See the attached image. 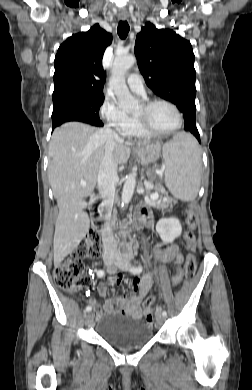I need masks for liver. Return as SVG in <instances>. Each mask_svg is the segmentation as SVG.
Here are the masks:
<instances>
[{"instance_id":"6515ba94","label":"liver","mask_w":252,"mask_h":390,"mask_svg":"<svg viewBox=\"0 0 252 390\" xmlns=\"http://www.w3.org/2000/svg\"><path fill=\"white\" fill-rule=\"evenodd\" d=\"M106 142L104 129L79 122L65 123L52 134L48 178L59 208L53 241L56 266L77 248L89 231L90 221L83 212L86 206L84 199L93 193L96 186ZM132 145L120 138L115 140L113 159L117 165L128 161ZM137 145L152 144L140 142ZM82 181L85 186L81 185Z\"/></svg>"}]
</instances>
